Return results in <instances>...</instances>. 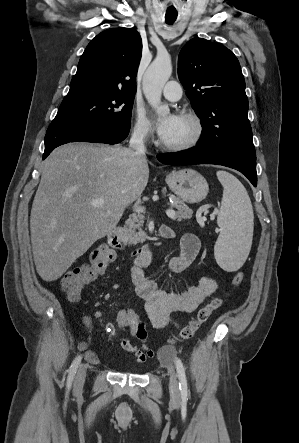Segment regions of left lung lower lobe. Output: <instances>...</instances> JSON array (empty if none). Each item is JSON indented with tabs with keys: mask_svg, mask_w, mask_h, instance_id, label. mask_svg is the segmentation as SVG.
Listing matches in <instances>:
<instances>
[{
	"mask_svg": "<svg viewBox=\"0 0 299 443\" xmlns=\"http://www.w3.org/2000/svg\"><path fill=\"white\" fill-rule=\"evenodd\" d=\"M167 165L216 164L236 169L243 173L256 187V152L254 149L211 151L197 146L177 153L157 155Z\"/></svg>",
	"mask_w": 299,
	"mask_h": 443,
	"instance_id": "obj_1",
	"label": "left lung lower lobe"
}]
</instances>
